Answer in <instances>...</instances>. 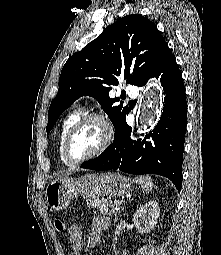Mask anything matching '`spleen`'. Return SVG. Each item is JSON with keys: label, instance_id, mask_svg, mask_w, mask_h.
I'll return each mask as SVG.
<instances>
[{"label": "spleen", "instance_id": "obj_1", "mask_svg": "<svg viewBox=\"0 0 221 255\" xmlns=\"http://www.w3.org/2000/svg\"><path fill=\"white\" fill-rule=\"evenodd\" d=\"M134 182L139 184L146 192H150L153 188V182L149 175L135 177Z\"/></svg>", "mask_w": 221, "mask_h": 255}]
</instances>
